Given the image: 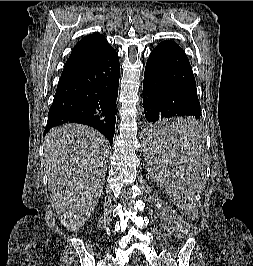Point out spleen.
<instances>
[{
	"label": "spleen",
	"mask_w": 253,
	"mask_h": 266,
	"mask_svg": "<svg viewBox=\"0 0 253 266\" xmlns=\"http://www.w3.org/2000/svg\"><path fill=\"white\" fill-rule=\"evenodd\" d=\"M199 129L193 117H159V123H145L142 154L148 169L172 191L170 204H179L180 210L193 211L202 184L199 153L204 142L198 141Z\"/></svg>",
	"instance_id": "obj_1"
}]
</instances>
